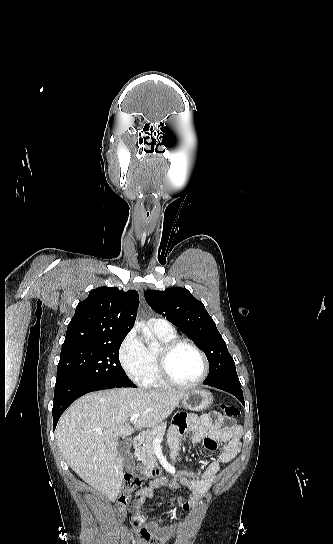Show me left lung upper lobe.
<instances>
[{"label":"left lung upper lobe","mask_w":333,"mask_h":544,"mask_svg":"<svg viewBox=\"0 0 333 544\" xmlns=\"http://www.w3.org/2000/svg\"><path fill=\"white\" fill-rule=\"evenodd\" d=\"M144 295L155 312L166 317L202 348L210 365L204 383L240 384L234 360L201 301L182 287L167 288L165 291L147 290Z\"/></svg>","instance_id":"1"}]
</instances>
